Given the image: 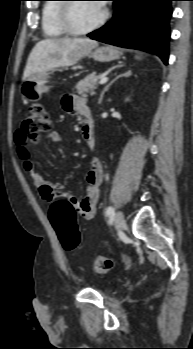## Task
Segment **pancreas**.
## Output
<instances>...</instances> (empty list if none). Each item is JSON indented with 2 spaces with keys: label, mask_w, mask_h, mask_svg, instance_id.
Returning a JSON list of instances; mask_svg holds the SVG:
<instances>
[{
  "label": "pancreas",
  "mask_w": 193,
  "mask_h": 349,
  "mask_svg": "<svg viewBox=\"0 0 193 349\" xmlns=\"http://www.w3.org/2000/svg\"><path fill=\"white\" fill-rule=\"evenodd\" d=\"M100 77L101 76L96 73H91L86 76L76 85L77 93L84 97H86L88 93L94 94V90L97 88Z\"/></svg>",
  "instance_id": "obj_1"
}]
</instances>
